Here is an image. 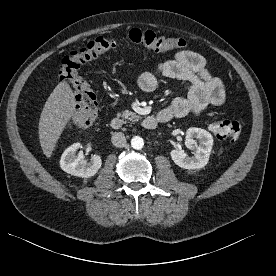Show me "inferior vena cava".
Segmentation results:
<instances>
[{"label":"inferior vena cava","instance_id":"1","mask_svg":"<svg viewBox=\"0 0 276 276\" xmlns=\"http://www.w3.org/2000/svg\"><path fill=\"white\" fill-rule=\"evenodd\" d=\"M112 144L116 147L122 148L126 146V137L122 132H115L111 138Z\"/></svg>","mask_w":276,"mask_h":276}]
</instances>
